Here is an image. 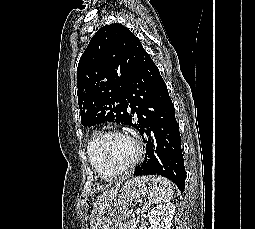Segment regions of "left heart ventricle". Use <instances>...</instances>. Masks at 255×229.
Returning <instances> with one entry per match:
<instances>
[{"label": "left heart ventricle", "instance_id": "left-heart-ventricle-1", "mask_svg": "<svg viewBox=\"0 0 255 229\" xmlns=\"http://www.w3.org/2000/svg\"><path fill=\"white\" fill-rule=\"evenodd\" d=\"M102 151L105 158L113 165H125L133 160L136 154L134 142L124 136H113L108 138Z\"/></svg>", "mask_w": 255, "mask_h": 229}]
</instances>
